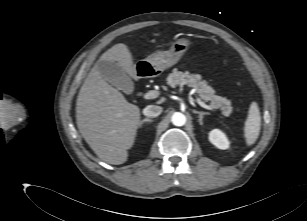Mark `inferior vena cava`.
Wrapping results in <instances>:
<instances>
[{"label":"inferior vena cava","mask_w":307,"mask_h":221,"mask_svg":"<svg viewBox=\"0 0 307 221\" xmlns=\"http://www.w3.org/2000/svg\"><path fill=\"white\" fill-rule=\"evenodd\" d=\"M161 112L162 107L156 105H148L143 109V114L147 117H157Z\"/></svg>","instance_id":"602c4592"}]
</instances>
